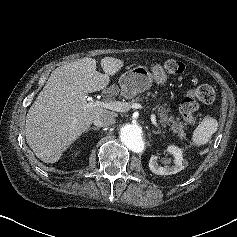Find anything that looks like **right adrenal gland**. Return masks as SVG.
Instances as JSON below:
<instances>
[{"label": "right adrenal gland", "instance_id": "1", "mask_svg": "<svg viewBox=\"0 0 237 237\" xmlns=\"http://www.w3.org/2000/svg\"><path fill=\"white\" fill-rule=\"evenodd\" d=\"M89 130H99V128L98 127H89V128H87V130H86V132H88Z\"/></svg>", "mask_w": 237, "mask_h": 237}]
</instances>
